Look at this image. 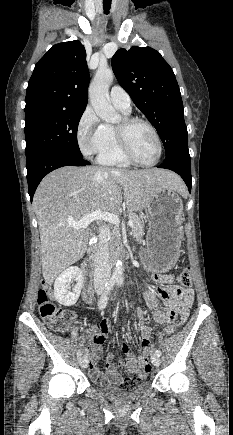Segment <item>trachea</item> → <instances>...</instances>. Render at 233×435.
<instances>
[{
    "label": "trachea",
    "instance_id": "obj_1",
    "mask_svg": "<svg viewBox=\"0 0 233 435\" xmlns=\"http://www.w3.org/2000/svg\"><path fill=\"white\" fill-rule=\"evenodd\" d=\"M110 8H111V0H103V10L106 15L109 14Z\"/></svg>",
    "mask_w": 233,
    "mask_h": 435
}]
</instances>
